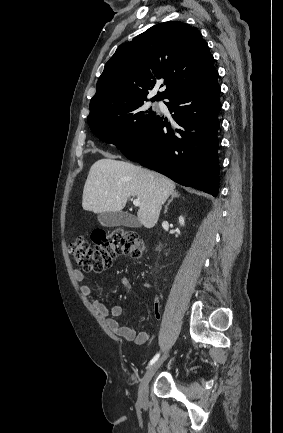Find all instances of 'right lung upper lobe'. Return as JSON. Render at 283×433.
Instances as JSON below:
<instances>
[{
	"instance_id": "1",
	"label": "right lung upper lobe",
	"mask_w": 283,
	"mask_h": 433,
	"mask_svg": "<svg viewBox=\"0 0 283 433\" xmlns=\"http://www.w3.org/2000/svg\"><path fill=\"white\" fill-rule=\"evenodd\" d=\"M216 75L214 58L196 28L179 21L161 23L118 47L98 79L89 116L147 100L159 80L165 79L167 88L152 101L201 85Z\"/></svg>"
}]
</instances>
